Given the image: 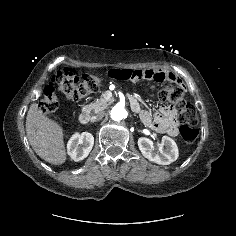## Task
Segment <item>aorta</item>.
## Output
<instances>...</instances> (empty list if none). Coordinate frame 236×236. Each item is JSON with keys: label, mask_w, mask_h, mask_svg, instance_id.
Wrapping results in <instances>:
<instances>
[{"label": "aorta", "mask_w": 236, "mask_h": 236, "mask_svg": "<svg viewBox=\"0 0 236 236\" xmlns=\"http://www.w3.org/2000/svg\"><path fill=\"white\" fill-rule=\"evenodd\" d=\"M127 111L125 107L121 104L115 105L110 111V117L114 121H121L125 119Z\"/></svg>", "instance_id": "762f6f07"}]
</instances>
